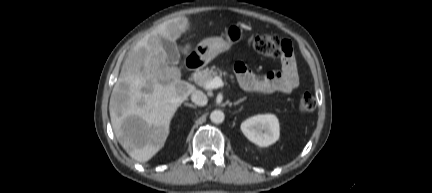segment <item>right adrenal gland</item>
Instances as JSON below:
<instances>
[{"mask_svg": "<svg viewBox=\"0 0 432 193\" xmlns=\"http://www.w3.org/2000/svg\"><path fill=\"white\" fill-rule=\"evenodd\" d=\"M185 106H188V107H191V108H196V106H195V105H193V104H190V103H185Z\"/></svg>", "mask_w": 432, "mask_h": 193, "instance_id": "2a0ac1e0", "label": "right adrenal gland"}]
</instances>
